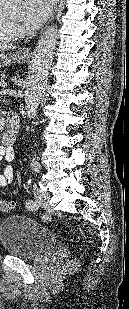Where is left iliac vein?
<instances>
[{
    "instance_id": "left-iliac-vein-1",
    "label": "left iliac vein",
    "mask_w": 129,
    "mask_h": 309,
    "mask_svg": "<svg viewBox=\"0 0 129 309\" xmlns=\"http://www.w3.org/2000/svg\"><path fill=\"white\" fill-rule=\"evenodd\" d=\"M33 192L36 198L37 207L44 208L49 215L52 214L53 210L49 205V193L40 189L36 184L33 185Z\"/></svg>"
}]
</instances>
